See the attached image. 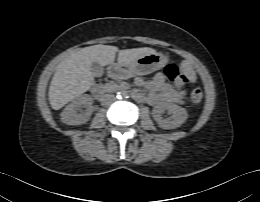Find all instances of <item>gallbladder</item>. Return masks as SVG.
<instances>
[{"mask_svg": "<svg viewBox=\"0 0 260 202\" xmlns=\"http://www.w3.org/2000/svg\"><path fill=\"white\" fill-rule=\"evenodd\" d=\"M90 69H91V72H92L93 76H95V77L102 76V74L104 72L103 67L98 62H93L91 64V68Z\"/></svg>", "mask_w": 260, "mask_h": 202, "instance_id": "bac80fb5", "label": "gallbladder"}]
</instances>
